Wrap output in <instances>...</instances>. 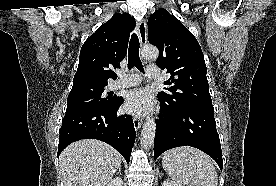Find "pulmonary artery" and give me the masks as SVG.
Segmentation results:
<instances>
[{"label": "pulmonary artery", "mask_w": 276, "mask_h": 186, "mask_svg": "<svg viewBox=\"0 0 276 186\" xmlns=\"http://www.w3.org/2000/svg\"><path fill=\"white\" fill-rule=\"evenodd\" d=\"M146 76L151 79L158 78L160 76V69L157 66L150 65L147 67ZM141 80L142 76L140 74H120L119 78L112 83L111 87L112 89L131 87L138 85Z\"/></svg>", "instance_id": "obj_1"}]
</instances>
